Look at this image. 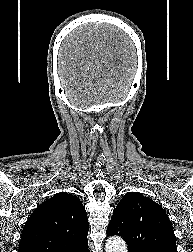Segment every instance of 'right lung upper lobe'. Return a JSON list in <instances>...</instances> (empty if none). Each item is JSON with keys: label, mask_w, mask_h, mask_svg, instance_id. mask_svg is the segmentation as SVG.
<instances>
[{"label": "right lung upper lobe", "mask_w": 193, "mask_h": 252, "mask_svg": "<svg viewBox=\"0 0 193 252\" xmlns=\"http://www.w3.org/2000/svg\"><path fill=\"white\" fill-rule=\"evenodd\" d=\"M81 201L61 192L41 203L24 225L18 252H79L88 246Z\"/></svg>", "instance_id": "cb5924a9"}]
</instances>
